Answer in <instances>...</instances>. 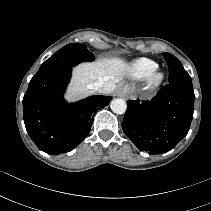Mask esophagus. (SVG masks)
I'll return each instance as SVG.
<instances>
[{
    "label": "esophagus",
    "instance_id": "esophagus-1",
    "mask_svg": "<svg viewBox=\"0 0 211 211\" xmlns=\"http://www.w3.org/2000/svg\"><path fill=\"white\" fill-rule=\"evenodd\" d=\"M129 93V90L128 88H121L119 91H118V96L120 97H126Z\"/></svg>",
    "mask_w": 211,
    "mask_h": 211
}]
</instances>
